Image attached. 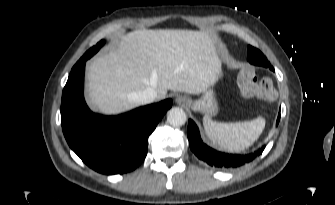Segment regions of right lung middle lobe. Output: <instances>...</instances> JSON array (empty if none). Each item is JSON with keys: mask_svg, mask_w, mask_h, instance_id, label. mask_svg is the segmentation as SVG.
<instances>
[{"mask_svg": "<svg viewBox=\"0 0 335 205\" xmlns=\"http://www.w3.org/2000/svg\"><path fill=\"white\" fill-rule=\"evenodd\" d=\"M105 41L101 40L99 43H97V45L93 46L92 48H90L81 58L79 61L83 60V59H89L91 58L103 45H104ZM78 61V62H79ZM77 62V63H78ZM76 63V64H77ZM75 64V65H76Z\"/></svg>", "mask_w": 335, "mask_h": 205, "instance_id": "right-lung-middle-lobe-1", "label": "right lung middle lobe"}]
</instances>
